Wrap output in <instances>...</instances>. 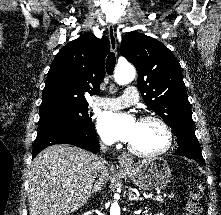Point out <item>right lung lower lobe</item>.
Listing matches in <instances>:
<instances>
[{"mask_svg":"<svg viewBox=\"0 0 221 215\" xmlns=\"http://www.w3.org/2000/svg\"><path fill=\"white\" fill-rule=\"evenodd\" d=\"M63 143L78 146L93 153L99 152L100 148L93 123L85 127H61L37 133L32 158L50 145Z\"/></svg>","mask_w":221,"mask_h":215,"instance_id":"obj_1","label":"right lung lower lobe"}]
</instances>
